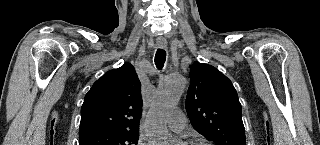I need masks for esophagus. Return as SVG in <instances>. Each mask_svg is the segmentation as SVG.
I'll return each mask as SVG.
<instances>
[{"mask_svg": "<svg viewBox=\"0 0 320 145\" xmlns=\"http://www.w3.org/2000/svg\"><path fill=\"white\" fill-rule=\"evenodd\" d=\"M157 46L160 48H166L167 47V40L164 38H158L156 40Z\"/></svg>", "mask_w": 320, "mask_h": 145, "instance_id": "obj_1", "label": "esophagus"}]
</instances>
